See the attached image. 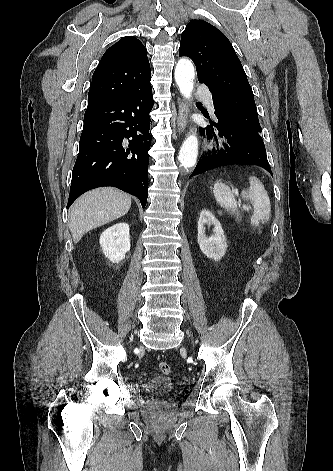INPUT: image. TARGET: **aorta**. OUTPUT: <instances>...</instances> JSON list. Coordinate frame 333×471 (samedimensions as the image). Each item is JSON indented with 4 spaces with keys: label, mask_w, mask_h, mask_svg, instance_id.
<instances>
[{
    "label": "aorta",
    "mask_w": 333,
    "mask_h": 471,
    "mask_svg": "<svg viewBox=\"0 0 333 471\" xmlns=\"http://www.w3.org/2000/svg\"><path fill=\"white\" fill-rule=\"evenodd\" d=\"M194 67L188 59H180L175 67V80L181 94L190 99L194 88ZM198 156V139L196 135H189L183 142L179 152L180 165L185 169L195 165Z\"/></svg>",
    "instance_id": "762f6f07"
}]
</instances>
